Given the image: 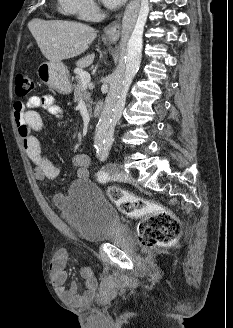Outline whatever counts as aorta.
<instances>
[{
    "instance_id": "aorta-1",
    "label": "aorta",
    "mask_w": 233,
    "mask_h": 328,
    "mask_svg": "<svg viewBox=\"0 0 233 328\" xmlns=\"http://www.w3.org/2000/svg\"><path fill=\"white\" fill-rule=\"evenodd\" d=\"M148 12V0H131L125 9L120 60L110 77L109 91L95 130L94 144L98 149L108 150L112 146L114 129L125 107L129 86L140 67L142 36Z\"/></svg>"
}]
</instances>
